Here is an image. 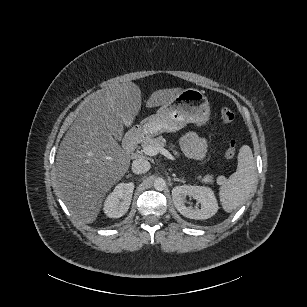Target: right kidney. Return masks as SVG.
Returning a JSON list of instances; mask_svg holds the SVG:
<instances>
[{"instance_id":"right-kidney-1","label":"right kidney","mask_w":307,"mask_h":307,"mask_svg":"<svg viewBox=\"0 0 307 307\" xmlns=\"http://www.w3.org/2000/svg\"><path fill=\"white\" fill-rule=\"evenodd\" d=\"M134 182H120L112 192H108L103 202V212L108 218L123 216L129 209Z\"/></svg>"}]
</instances>
